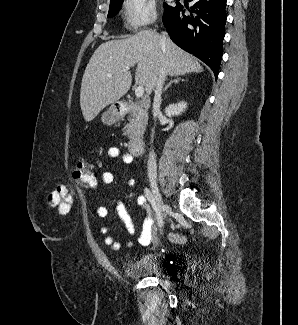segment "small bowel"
<instances>
[{"instance_id": "small-bowel-1", "label": "small bowel", "mask_w": 298, "mask_h": 325, "mask_svg": "<svg viewBox=\"0 0 298 325\" xmlns=\"http://www.w3.org/2000/svg\"><path fill=\"white\" fill-rule=\"evenodd\" d=\"M108 156L111 159H120L125 164H131L133 162V155L127 152H123L121 149L117 147H111L107 151ZM101 180L105 184H110L114 180V174L110 171H105L101 175ZM128 185L130 187L135 185V179L130 178L128 181ZM137 203L141 207L146 206V198L144 196H139L137 199ZM116 213L118 214L119 218L123 221L127 232L130 235H133L135 233V225L134 222L127 212L125 206L118 202L115 207ZM97 215L100 218H106L108 215V209L105 206H99L97 208ZM154 231V222L153 219L150 217H147L142 226L141 234L138 238V242L142 246H147L150 244L153 236ZM100 232L102 235H104V243L111 247L113 250H118L120 248V244L115 241V239L110 235V227L108 224H102L100 226ZM132 243H128L127 247H131Z\"/></svg>"}]
</instances>
